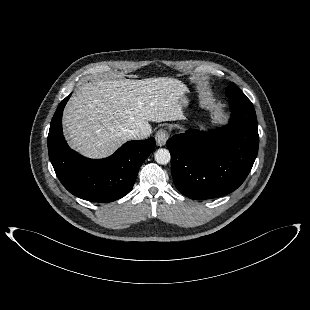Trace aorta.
Segmentation results:
<instances>
[{
	"label": "aorta",
	"mask_w": 310,
	"mask_h": 310,
	"mask_svg": "<svg viewBox=\"0 0 310 310\" xmlns=\"http://www.w3.org/2000/svg\"><path fill=\"white\" fill-rule=\"evenodd\" d=\"M155 161L160 165H166L170 162L171 156L168 149L160 148L154 153Z\"/></svg>",
	"instance_id": "762f6f07"
}]
</instances>
